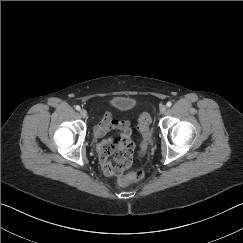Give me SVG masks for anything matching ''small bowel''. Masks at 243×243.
Returning a JSON list of instances; mask_svg holds the SVG:
<instances>
[{"label": "small bowel", "mask_w": 243, "mask_h": 243, "mask_svg": "<svg viewBox=\"0 0 243 243\" xmlns=\"http://www.w3.org/2000/svg\"><path fill=\"white\" fill-rule=\"evenodd\" d=\"M117 132L119 137L105 138L109 132ZM132 130L126 119H117L112 113L106 112L94 128V138L98 141L96 152L100 167L105 176L119 178L131 165L134 143L131 139ZM116 151L118 153L114 154Z\"/></svg>", "instance_id": "obj_1"}]
</instances>
